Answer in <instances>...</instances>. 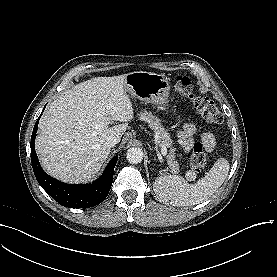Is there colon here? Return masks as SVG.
<instances>
[{"mask_svg":"<svg viewBox=\"0 0 277 277\" xmlns=\"http://www.w3.org/2000/svg\"><path fill=\"white\" fill-rule=\"evenodd\" d=\"M175 92L189 100L198 115L207 122L220 123L223 119L216 104L209 98L196 95L187 77H179L175 84ZM208 163V156L200 144H196L190 156V167L195 174L202 173Z\"/></svg>","mask_w":277,"mask_h":277,"instance_id":"5ec220e1","label":"colon"}]
</instances>
